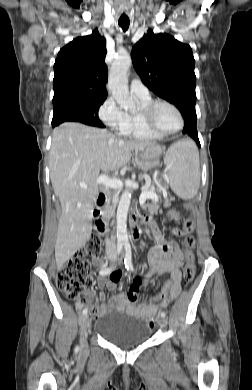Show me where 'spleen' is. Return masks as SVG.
Wrapping results in <instances>:
<instances>
[{
	"label": "spleen",
	"instance_id": "obj_1",
	"mask_svg": "<svg viewBox=\"0 0 252 390\" xmlns=\"http://www.w3.org/2000/svg\"><path fill=\"white\" fill-rule=\"evenodd\" d=\"M164 163L167 182L172 191L184 200L192 199L200 184L199 153L190 140H181L170 146Z\"/></svg>",
	"mask_w": 252,
	"mask_h": 390
}]
</instances>
